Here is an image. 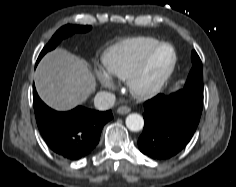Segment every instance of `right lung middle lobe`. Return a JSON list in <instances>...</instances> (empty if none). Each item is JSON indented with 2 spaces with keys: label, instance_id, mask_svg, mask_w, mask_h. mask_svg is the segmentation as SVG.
Returning <instances> with one entry per match:
<instances>
[{
  "label": "right lung middle lobe",
  "instance_id": "dd1d6c3e",
  "mask_svg": "<svg viewBox=\"0 0 236 187\" xmlns=\"http://www.w3.org/2000/svg\"><path fill=\"white\" fill-rule=\"evenodd\" d=\"M91 29V26H77V25H65L61 27L51 38L49 43L41 51L37 62L44 56L45 53L54 49L64 38L78 32L83 33Z\"/></svg>",
  "mask_w": 236,
  "mask_h": 187
}]
</instances>
